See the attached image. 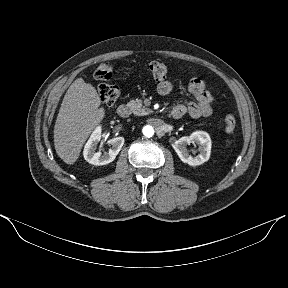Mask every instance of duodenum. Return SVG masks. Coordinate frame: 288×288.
Listing matches in <instances>:
<instances>
[{
  "label": "duodenum",
  "instance_id": "1",
  "mask_svg": "<svg viewBox=\"0 0 288 288\" xmlns=\"http://www.w3.org/2000/svg\"><path fill=\"white\" fill-rule=\"evenodd\" d=\"M117 113L120 117L122 118H126L130 115V108L128 105L126 104H121L118 108H117Z\"/></svg>",
  "mask_w": 288,
  "mask_h": 288
}]
</instances>
